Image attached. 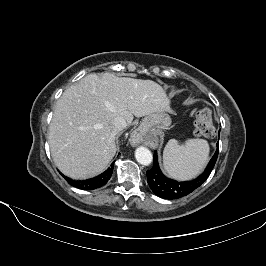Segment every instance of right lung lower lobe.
Instances as JSON below:
<instances>
[{
	"label": "right lung lower lobe",
	"instance_id": "98d812e1",
	"mask_svg": "<svg viewBox=\"0 0 266 266\" xmlns=\"http://www.w3.org/2000/svg\"><path fill=\"white\" fill-rule=\"evenodd\" d=\"M113 168H114V162L111 164V166L102 174L91 178V179H87V180H73L71 178H68L66 176H64L63 174H61L65 180L72 186L82 189V190H94L96 188H99L103 185H105L107 183V181L110 179L112 172H113Z\"/></svg>",
	"mask_w": 266,
	"mask_h": 266
}]
</instances>
